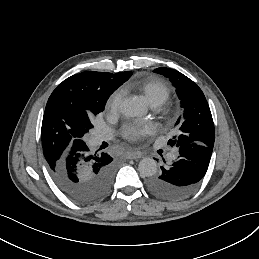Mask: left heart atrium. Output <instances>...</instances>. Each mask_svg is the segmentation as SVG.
<instances>
[{"label":"left heart atrium","mask_w":259,"mask_h":259,"mask_svg":"<svg viewBox=\"0 0 259 259\" xmlns=\"http://www.w3.org/2000/svg\"><path fill=\"white\" fill-rule=\"evenodd\" d=\"M156 128L151 123H130L122 128V135L132 142H139L147 135L153 134Z\"/></svg>","instance_id":"obj_1"}]
</instances>
